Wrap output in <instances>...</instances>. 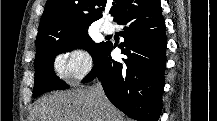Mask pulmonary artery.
Here are the masks:
<instances>
[{
	"label": "pulmonary artery",
	"mask_w": 217,
	"mask_h": 121,
	"mask_svg": "<svg viewBox=\"0 0 217 121\" xmlns=\"http://www.w3.org/2000/svg\"><path fill=\"white\" fill-rule=\"evenodd\" d=\"M101 29L104 33L106 34H110L114 31V26L111 22L109 21H105L102 25H101Z\"/></svg>",
	"instance_id": "obj_1"
}]
</instances>
